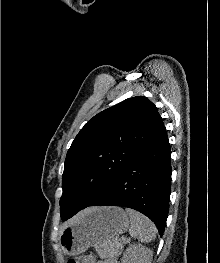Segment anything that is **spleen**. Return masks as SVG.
Wrapping results in <instances>:
<instances>
[{
    "mask_svg": "<svg viewBox=\"0 0 220 263\" xmlns=\"http://www.w3.org/2000/svg\"><path fill=\"white\" fill-rule=\"evenodd\" d=\"M130 217L129 234L142 243H149L156 237V227L146 216L130 208L126 209Z\"/></svg>",
    "mask_w": 220,
    "mask_h": 263,
    "instance_id": "3e777b00",
    "label": "spleen"
}]
</instances>
